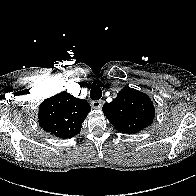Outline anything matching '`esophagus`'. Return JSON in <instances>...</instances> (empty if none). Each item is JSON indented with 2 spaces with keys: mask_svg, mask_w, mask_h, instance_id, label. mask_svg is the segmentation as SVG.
Here are the masks:
<instances>
[{
  "mask_svg": "<svg viewBox=\"0 0 196 196\" xmlns=\"http://www.w3.org/2000/svg\"><path fill=\"white\" fill-rule=\"evenodd\" d=\"M103 105V101L102 100H95L91 102V106L94 109H101Z\"/></svg>",
  "mask_w": 196,
  "mask_h": 196,
  "instance_id": "esophagus-1",
  "label": "esophagus"
}]
</instances>
